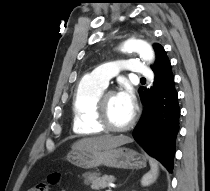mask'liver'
<instances>
[{
	"instance_id": "obj_1",
	"label": "liver",
	"mask_w": 210,
	"mask_h": 191,
	"mask_svg": "<svg viewBox=\"0 0 210 191\" xmlns=\"http://www.w3.org/2000/svg\"><path fill=\"white\" fill-rule=\"evenodd\" d=\"M132 139L127 136H98L83 138L72 145L73 150H106L131 143Z\"/></svg>"
}]
</instances>
